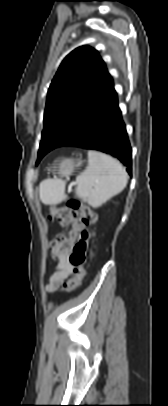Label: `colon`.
<instances>
[{
	"label": "colon",
	"instance_id": "1",
	"mask_svg": "<svg viewBox=\"0 0 168 406\" xmlns=\"http://www.w3.org/2000/svg\"><path fill=\"white\" fill-rule=\"evenodd\" d=\"M51 219L57 220L61 226L71 229L57 236L52 242L54 257L69 253V262L74 267V275L63 283L62 291L69 293L79 287L85 276V262L90 239L93 237L91 227L97 220L95 212L81 200L72 198L65 206L54 208L50 212Z\"/></svg>",
	"mask_w": 168,
	"mask_h": 406
}]
</instances>
